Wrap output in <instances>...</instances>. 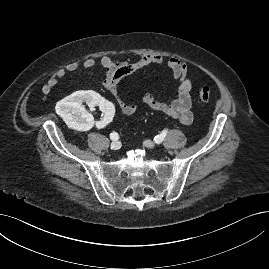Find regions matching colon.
<instances>
[{
  "label": "colon",
  "instance_id": "5ec220e1",
  "mask_svg": "<svg viewBox=\"0 0 269 269\" xmlns=\"http://www.w3.org/2000/svg\"><path fill=\"white\" fill-rule=\"evenodd\" d=\"M198 101L207 103L211 99V89L208 86H199L197 90Z\"/></svg>",
  "mask_w": 269,
  "mask_h": 269
}]
</instances>
